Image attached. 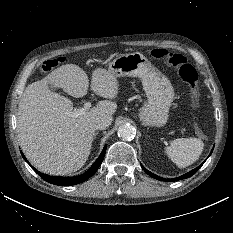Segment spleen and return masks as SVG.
Listing matches in <instances>:
<instances>
[{"instance_id":"3e777b00","label":"spleen","mask_w":233,"mask_h":233,"mask_svg":"<svg viewBox=\"0 0 233 233\" xmlns=\"http://www.w3.org/2000/svg\"><path fill=\"white\" fill-rule=\"evenodd\" d=\"M203 148L199 138H178L171 141L165 152L179 168H185L199 159Z\"/></svg>"}]
</instances>
